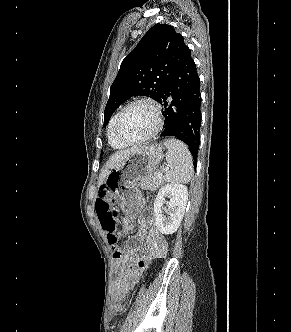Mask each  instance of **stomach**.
<instances>
[{"mask_svg":"<svg viewBox=\"0 0 291 332\" xmlns=\"http://www.w3.org/2000/svg\"><path fill=\"white\" fill-rule=\"evenodd\" d=\"M162 159L161 145L140 147L126 156L105 178L103 184L116 196L125 213L138 212L141 196L136 183L151 178Z\"/></svg>","mask_w":291,"mask_h":332,"instance_id":"0dacf381","label":"stomach"}]
</instances>
